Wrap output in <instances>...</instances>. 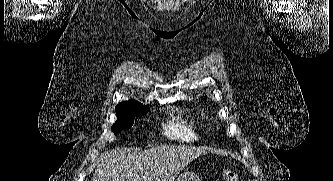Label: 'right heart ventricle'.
Masks as SVG:
<instances>
[{
  "label": "right heart ventricle",
  "mask_w": 333,
  "mask_h": 181,
  "mask_svg": "<svg viewBox=\"0 0 333 181\" xmlns=\"http://www.w3.org/2000/svg\"><path fill=\"white\" fill-rule=\"evenodd\" d=\"M198 130L199 126L196 122L185 119L179 115H175L171 122L165 127L167 136L182 141L197 140Z\"/></svg>",
  "instance_id": "right-heart-ventricle-1"
}]
</instances>
